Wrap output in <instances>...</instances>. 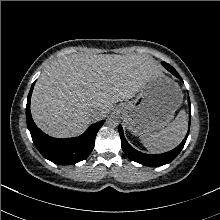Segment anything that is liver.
Returning <instances> with one entry per match:
<instances>
[{"label":"liver","mask_w":220,"mask_h":220,"mask_svg":"<svg viewBox=\"0 0 220 220\" xmlns=\"http://www.w3.org/2000/svg\"><path fill=\"white\" fill-rule=\"evenodd\" d=\"M160 72L161 66L143 55L71 54L43 70L32 93V117L53 137L77 136Z\"/></svg>","instance_id":"liver-1"}]
</instances>
